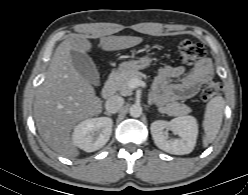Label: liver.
Listing matches in <instances>:
<instances>
[{
	"label": "liver",
	"mask_w": 248,
	"mask_h": 195,
	"mask_svg": "<svg viewBox=\"0 0 248 195\" xmlns=\"http://www.w3.org/2000/svg\"><path fill=\"white\" fill-rule=\"evenodd\" d=\"M143 41L135 36L101 37L99 46L105 51L134 47ZM92 45L85 35L70 34L56 48L45 81L34 102V118L44 142L55 152L76 157L79 151L71 140L74 126L102 111V101L91 83L74 68L70 51L86 53Z\"/></svg>",
	"instance_id": "obj_1"
}]
</instances>
